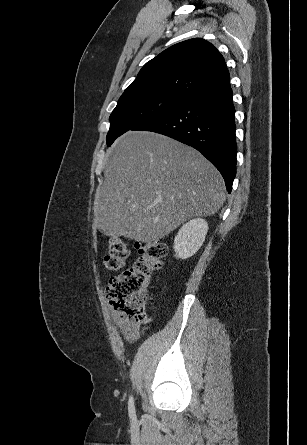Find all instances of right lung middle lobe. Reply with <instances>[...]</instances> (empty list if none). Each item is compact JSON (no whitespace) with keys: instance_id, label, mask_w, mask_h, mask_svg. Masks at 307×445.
<instances>
[{"instance_id":"right-lung-middle-lobe-1","label":"right lung middle lobe","mask_w":307,"mask_h":445,"mask_svg":"<svg viewBox=\"0 0 307 445\" xmlns=\"http://www.w3.org/2000/svg\"><path fill=\"white\" fill-rule=\"evenodd\" d=\"M185 98L159 94L121 96L110 115L107 145L137 125L152 120L179 105Z\"/></svg>"}]
</instances>
